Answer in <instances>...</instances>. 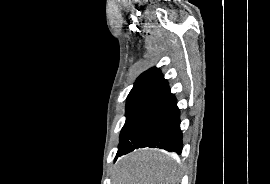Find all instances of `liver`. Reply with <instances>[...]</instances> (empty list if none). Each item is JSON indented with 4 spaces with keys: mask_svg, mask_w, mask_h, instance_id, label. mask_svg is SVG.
<instances>
[{
    "mask_svg": "<svg viewBox=\"0 0 270 184\" xmlns=\"http://www.w3.org/2000/svg\"><path fill=\"white\" fill-rule=\"evenodd\" d=\"M162 153L145 148L122 157L114 169L112 184H177L178 174L165 163Z\"/></svg>",
    "mask_w": 270,
    "mask_h": 184,
    "instance_id": "1",
    "label": "liver"
}]
</instances>
